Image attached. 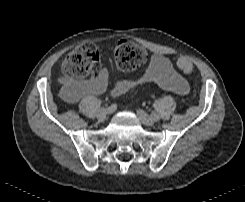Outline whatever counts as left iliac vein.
I'll use <instances>...</instances> for the list:
<instances>
[{"mask_svg":"<svg viewBox=\"0 0 245 202\" xmlns=\"http://www.w3.org/2000/svg\"><path fill=\"white\" fill-rule=\"evenodd\" d=\"M137 115L144 125L152 126L155 122L154 118L150 117L145 111L141 109L137 110Z\"/></svg>","mask_w":245,"mask_h":202,"instance_id":"left-iliac-vein-1","label":"left iliac vein"}]
</instances>
